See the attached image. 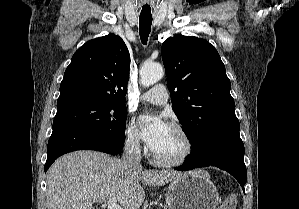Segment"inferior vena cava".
<instances>
[{
    "label": "inferior vena cava",
    "instance_id": "obj_1",
    "mask_svg": "<svg viewBox=\"0 0 299 209\" xmlns=\"http://www.w3.org/2000/svg\"><path fill=\"white\" fill-rule=\"evenodd\" d=\"M122 159L131 168H141V150L137 138H128L124 146Z\"/></svg>",
    "mask_w": 299,
    "mask_h": 209
}]
</instances>
